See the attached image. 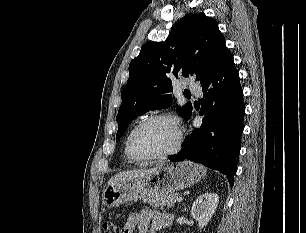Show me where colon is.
<instances>
[{
    "label": "colon",
    "mask_w": 306,
    "mask_h": 233,
    "mask_svg": "<svg viewBox=\"0 0 306 233\" xmlns=\"http://www.w3.org/2000/svg\"><path fill=\"white\" fill-rule=\"evenodd\" d=\"M103 233H123L121 225L112 219H105L102 223Z\"/></svg>",
    "instance_id": "colon-1"
}]
</instances>
